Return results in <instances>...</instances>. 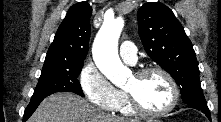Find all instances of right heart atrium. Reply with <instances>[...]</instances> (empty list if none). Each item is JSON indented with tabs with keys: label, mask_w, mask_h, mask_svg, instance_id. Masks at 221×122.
Here are the masks:
<instances>
[{
	"label": "right heart atrium",
	"mask_w": 221,
	"mask_h": 122,
	"mask_svg": "<svg viewBox=\"0 0 221 122\" xmlns=\"http://www.w3.org/2000/svg\"><path fill=\"white\" fill-rule=\"evenodd\" d=\"M79 83L92 104L105 110L112 109L117 91L92 60H87L81 68Z\"/></svg>",
	"instance_id": "obj_1"
}]
</instances>
